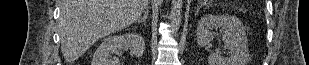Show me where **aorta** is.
I'll list each match as a JSON object with an SVG mask.
<instances>
[{"mask_svg":"<svg viewBox=\"0 0 309 65\" xmlns=\"http://www.w3.org/2000/svg\"><path fill=\"white\" fill-rule=\"evenodd\" d=\"M183 0H172L171 24L174 30H178L181 24Z\"/></svg>","mask_w":309,"mask_h":65,"instance_id":"1","label":"aorta"}]
</instances>
